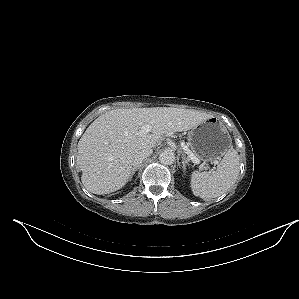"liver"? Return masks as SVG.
<instances>
[{
    "label": "liver",
    "mask_w": 299,
    "mask_h": 299,
    "mask_svg": "<svg viewBox=\"0 0 299 299\" xmlns=\"http://www.w3.org/2000/svg\"><path fill=\"white\" fill-rule=\"evenodd\" d=\"M212 115L172 107L114 109L94 120L78 142L77 165L85 188L98 195L121 189L130 179L133 155L154 148L163 135L187 131ZM144 125L151 133L140 135Z\"/></svg>",
    "instance_id": "6515ba94"
}]
</instances>
